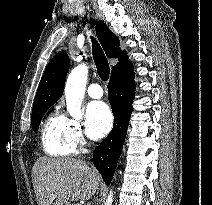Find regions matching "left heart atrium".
Masks as SVG:
<instances>
[{
    "label": "left heart atrium",
    "mask_w": 212,
    "mask_h": 205,
    "mask_svg": "<svg viewBox=\"0 0 212 205\" xmlns=\"http://www.w3.org/2000/svg\"><path fill=\"white\" fill-rule=\"evenodd\" d=\"M86 133L91 139H100L111 129L113 117L109 106L101 101H95L86 109Z\"/></svg>",
    "instance_id": "1"
}]
</instances>
